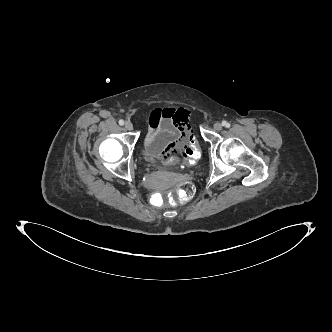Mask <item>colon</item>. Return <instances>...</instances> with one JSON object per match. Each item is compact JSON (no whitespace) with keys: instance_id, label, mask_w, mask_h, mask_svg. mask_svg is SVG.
<instances>
[{"instance_id":"5ec220e1","label":"colon","mask_w":332,"mask_h":332,"mask_svg":"<svg viewBox=\"0 0 332 332\" xmlns=\"http://www.w3.org/2000/svg\"><path fill=\"white\" fill-rule=\"evenodd\" d=\"M203 143V138L199 134L191 136L187 142L186 149L182 153L185 163L193 165L200 158L199 146ZM195 194V187L192 182L185 181L179 185L174 192V201H188L193 198ZM152 202L156 206H162L165 204V197L160 193H156L152 196Z\"/></svg>"}]
</instances>
